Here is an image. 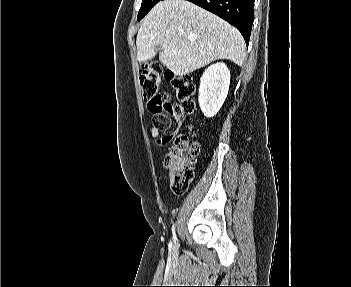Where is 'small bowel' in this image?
<instances>
[{"label":"small bowel","instance_id":"c3829d8e","mask_svg":"<svg viewBox=\"0 0 351 287\" xmlns=\"http://www.w3.org/2000/svg\"><path fill=\"white\" fill-rule=\"evenodd\" d=\"M175 122L180 125L182 123V117L181 116H174ZM149 133L151 136L153 137H159L160 136V131L157 130L154 127H150L149 128ZM172 139V135H165L160 139V144L162 148H167L168 147V143L170 142V140ZM159 144V145H160Z\"/></svg>","mask_w":351,"mask_h":287}]
</instances>
